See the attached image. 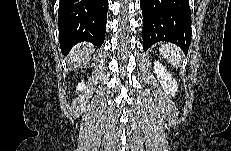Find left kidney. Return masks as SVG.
Instances as JSON below:
<instances>
[{
	"label": "left kidney",
	"instance_id": "left-kidney-1",
	"mask_svg": "<svg viewBox=\"0 0 231 151\" xmlns=\"http://www.w3.org/2000/svg\"><path fill=\"white\" fill-rule=\"evenodd\" d=\"M154 70L165 93L174 96L175 92L178 90V85L175 79L172 78L171 74L159 62H154Z\"/></svg>",
	"mask_w": 231,
	"mask_h": 151
}]
</instances>
